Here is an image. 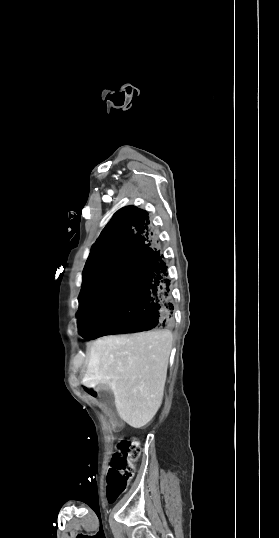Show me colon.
Here are the masks:
<instances>
[{"label":"colon","mask_w":279,"mask_h":538,"mask_svg":"<svg viewBox=\"0 0 279 538\" xmlns=\"http://www.w3.org/2000/svg\"><path fill=\"white\" fill-rule=\"evenodd\" d=\"M140 455L137 439L119 441L107 473V498L114 502L127 488L134 474V465Z\"/></svg>","instance_id":"5ec220e1"}]
</instances>
